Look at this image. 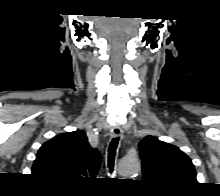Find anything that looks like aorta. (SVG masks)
<instances>
[{"label": "aorta", "instance_id": "obj_1", "mask_svg": "<svg viewBox=\"0 0 220 196\" xmlns=\"http://www.w3.org/2000/svg\"><path fill=\"white\" fill-rule=\"evenodd\" d=\"M140 165L137 160L122 159L118 164V172L124 177L132 176L138 173Z\"/></svg>", "mask_w": 220, "mask_h": 196}]
</instances>
